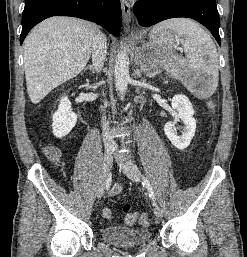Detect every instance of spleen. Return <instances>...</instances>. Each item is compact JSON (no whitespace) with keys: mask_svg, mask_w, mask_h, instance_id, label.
I'll list each match as a JSON object with an SVG mask.
<instances>
[{"mask_svg":"<svg viewBox=\"0 0 247 257\" xmlns=\"http://www.w3.org/2000/svg\"><path fill=\"white\" fill-rule=\"evenodd\" d=\"M162 29H171L178 34L193 80L208 76V82L198 94L202 98L210 97L217 88L219 72L217 49L209 34L198 23L187 18L163 21L152 31Z\"/></svg>","mask_w":247,"mask_h":257,"instance_id":"obj_1","label":"spleen"}]
</instances>
